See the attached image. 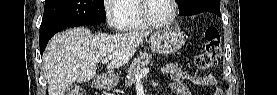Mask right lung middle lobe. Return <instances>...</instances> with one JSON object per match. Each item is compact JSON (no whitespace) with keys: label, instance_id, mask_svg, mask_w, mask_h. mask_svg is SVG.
<instances>
[{"label":"right lung middle lobe","instance_id":"obj_1","mask_svg":"<svg viewBox=\"0 0 277 95\" xmlns=\"http://www.w3.org/2000/svg\"><path fill=\"white\" fill-rule=\"evenodd\" d=\"M103 0H46L40 33L105 21Z\"/></svg>","mask_w":277,"mask_h":95}]
</instances>
